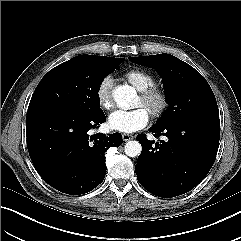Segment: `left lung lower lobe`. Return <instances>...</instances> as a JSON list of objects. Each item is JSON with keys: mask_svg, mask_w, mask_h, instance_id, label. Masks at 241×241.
Segmentation results:
<instances>
[{"mask_svg": "<svg viewBox=\"0 0 241 241\" xmlns=\"http://www.w3.org/2000/svg\"><path fill=\"white\" fill-rule=\"evenodd\" d=\"M167 137L154 144L139 134L142 152L135 166L137 179L150 193L171 198L197 186L211 169L219 145L220 122L190 118L150 128Z\"/></svg>", "mask_w": 241, "mask_h": 241, "instance_id": "left-lung-lower-lobe-1", "label": "left lung lower lobe"}]
</instances>
